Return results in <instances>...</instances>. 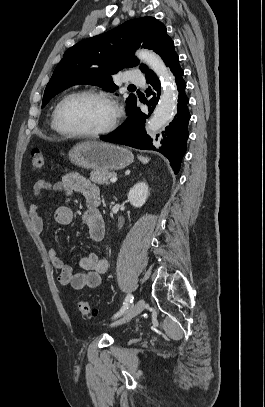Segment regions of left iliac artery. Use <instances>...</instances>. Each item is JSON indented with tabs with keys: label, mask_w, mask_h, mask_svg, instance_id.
<instances>
[{
	"label": "left iliac artery",
	"mask_w": 265,
	"mask_h": 407,
	"mask_svg": "<svg viewBox=\"0 0 265 407\" xmlns=\"http://www.w3.org/2000/svg\"><path fill=\"white\" fill-rule=\"evenodd\" d=\"M133 299H134L133 295H132V294H128V295L126 296V298H125L123 307L120 309L119 312H117V313L114 315V318H116V317H118L119 315H121L122 313H124L125 310H127L128 307L130 306V304L133 302Z\"/></svg>",
	"instance_id": "left-iliac-artery-1"
}]
</instances>
